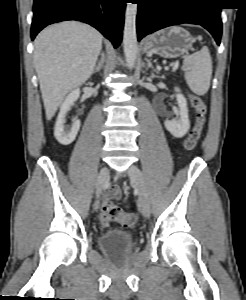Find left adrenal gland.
Here are the masks:
<instances>
[{
  "label": "left adrenal gland",
  "instance_id": "obj_1",
  "mask_svg": "<svg viewBox=\"0 0 246 300\" xmlns=\"http://www.w3.org/2000/svg\"><path fill=\"white\" fill-rule=\"evenodd\" d=\"M145 61L147 62V68H151L155 73H157L156 69L153 67L151 61L148 58H145Z\"/></svg>",
  "mask_w": 246,
  "mask_h": 300
}]
</instances>
